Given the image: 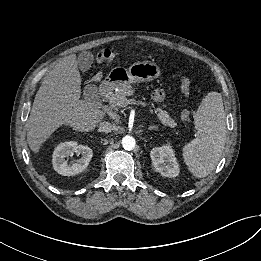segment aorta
I'll use <instances>...</instances> for the list:
<instances>
[{
  "label": "aorta",
  "mask_w": 261,
  "mask_h": 261,
  "mask_svg": "<svg viewBox=\"0 0 261 261\" xmlns=\"http://www.w3.org/2000/svg\"><path fill=\"white\" fill-rule=\"evenodd\" d=\"M136 141L134 137L130 135H126L122 138V146L125 150H133L135 148Z\"/></svg>",
  "instance_id": "762f6f07"
}]
</instances>
